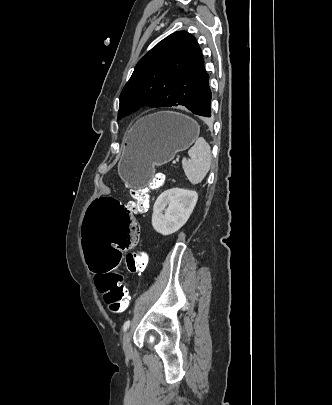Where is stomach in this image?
Masks as SVG:
<instances>
[{"label":"stomach","mask_w":332,"mask_h":405,"mask_svg":"<svg viewBox=\"0 0 332 405\" xmlns=\"http://www.w3.org/2000/svg\"><path fill=\"white\" fill-rule=\"evenodd\" d=\"M195 120L177 112L163 111L140 118L131 128L118 163V174L132 189L149 184L154 167L169 163L199 137Z\"/></svg>","instance_id":"1"}]
</instances>
